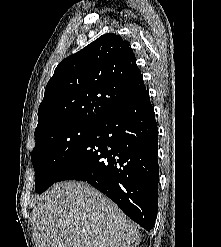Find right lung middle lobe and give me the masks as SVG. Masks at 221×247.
<instances>
[{
  "label": "right lung middle lobe",
  "mask_w": 221,
  "mask_h": 247,
  "mask_svg": "<svg viewBox=\"0 0 221 247\" xmlns=\"http://www.w3.org/2000/svg\"><path fill=\"white\" fill-rule=\"evenodd\" d=\"M97 124L69 122L35 135L32 164L37 193L44 192L55 182L65 165L93 134Z\"/></svg>",
  "instance_id": "right-lung-middle-lobe-1"
}]
</instances>
